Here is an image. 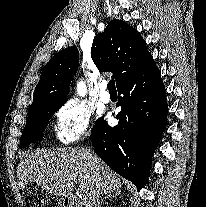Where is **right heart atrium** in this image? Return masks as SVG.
I'll list each match as a JSON object with an SVG mask.
<instances>
[{
    "instance_id": "1",
    "label": "right heart atrium",
    "mask_w": 206,
    "mask_h": 207,
    "mask_svg": "<svg viewBox=\"0 0 206 207\" xmlns=\"http://www.w3.org/2000/svg\"><path fill=\"white\" fill-rule=\"evenodd\" d=\"M93 114L81 102L69 100L56 112V137L62 144H71L92 131Z\"/></svg>"
}]
</instances>
